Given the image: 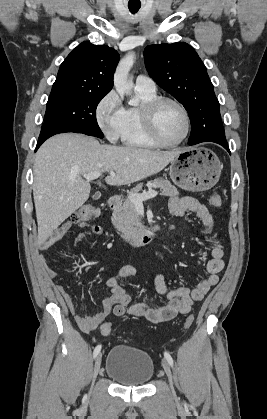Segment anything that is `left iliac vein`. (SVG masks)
Here are the masks:
<instances>
[{"label":"left iliac vein","mask_w":267,"mask_h":419,"mask_svg":"<svg viewBox=\"0 0 267 419\" xmlns=\"http://www.w3.org/2000/svg\"><path fill=\"white\" fill-rule=\"evenodd\" d=\"M162 366H163L164 371H165V373H166V376H167V378H168V381H169L170 387H171L172 391L174 392V387H173V377H172V371H171V368H170V366H169V364L167 363V361H166V360H163V361H162Z\"/></svg>","instance_id":"4c4485c4"}]
</instances>
